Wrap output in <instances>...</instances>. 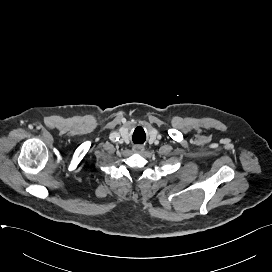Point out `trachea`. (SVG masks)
Returning a JSON list of instances; mask_svg holds the SVG:
<instances>
[{"instance_id": "1", "label": "trachea", "mask_w": 272, "mask_h": 272, "mask_svg": "<svg viewBox=\"0 0 272 272\" xmlns=\"http://www.w3.org/2000/svg\"><path fill=\"white\" fill-rule=\"evenodd\" d=\"M143 141H144V140H142V141H137V142H136V141H134V142H135V143H143Z\"/></svg>"}]
</instances>
